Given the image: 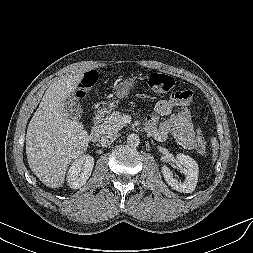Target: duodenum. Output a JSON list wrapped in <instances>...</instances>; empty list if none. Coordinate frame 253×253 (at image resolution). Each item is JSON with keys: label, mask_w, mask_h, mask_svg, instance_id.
<instances>
[{"label": "duodenum", "mask_w": 253, "mask_h": 253, "mask_svg": "<svg viewBox=\"0 0 253 253\" xmlns=\"http://www.w3.org/2000/svg\"><path fill=\"white\" fill-rule=\"evenodd\" d=\"M104 116L102 113H97L93 120L92 129L89 135L90 141L96 142L101 134Z\"/></svg>", "instance_id": "duodenum-1"}]
</instances>
